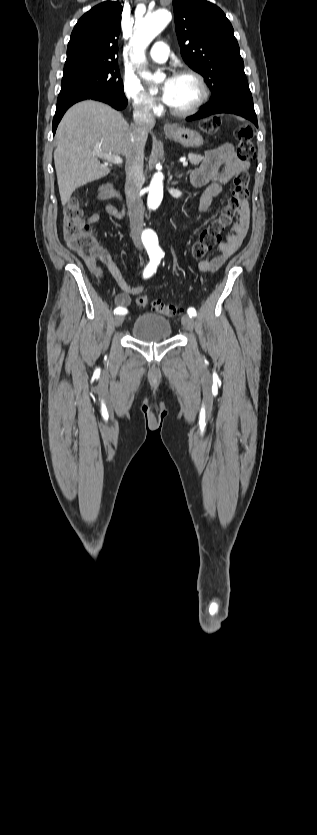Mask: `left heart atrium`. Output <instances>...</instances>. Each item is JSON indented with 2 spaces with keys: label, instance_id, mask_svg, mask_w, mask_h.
<instances>
[{
  "label": "left heart atrium",
  "instance_id": "39dd6f15",
  "mask_svg": "<svg viewBox=\"0 0 317 835\" xmlns=\"http://www.w3.org/2000/svg\"><path fill=\"white\" fill-rule=\"evenodd\" d=\"M173 87H174V78L173 77L167 78V80L165 81V83L163 84V87H162V99L167 104H169V102L171 100Z\"/></svg>",
  "mask_w": 317,
  "mask_h": 835
}]
</instances>
